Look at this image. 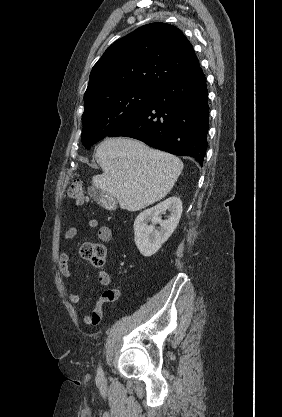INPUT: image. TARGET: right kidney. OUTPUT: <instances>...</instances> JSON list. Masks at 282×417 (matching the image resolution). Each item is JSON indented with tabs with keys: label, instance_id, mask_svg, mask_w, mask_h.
I'll list each match as a JSON object with an SVG mask.
<instances>
[{
	"label": "right kidney",
	"instance_id": "ca27d5eb",
	"mask_svg": "<svg viewBox=\"0 0 282 417\" xmlns=\"http://www.w3.org/2000/svg\"><path fill=\"white\" fill-rule=\"evenodd\" d=\"M169 211L166 221L159 217L160 213ZM182 215V200L179 196H169L166 200L158 202L151 209L140 213L134 221V241L143 257H151L159 251L161 245L171 237ZM152 221V225H148ZM159 223L160 229L155 231L154 225Z\"/></svg>",
	"mask_w": 282,
	"mask_h": 417
}]
</instances>
